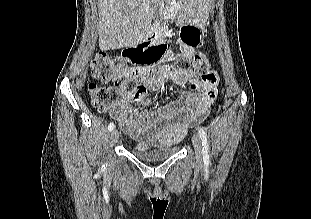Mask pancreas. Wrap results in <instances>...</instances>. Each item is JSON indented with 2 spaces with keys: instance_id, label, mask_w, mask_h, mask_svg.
<instances>
[{
  "instance_id": "pancreas-1",
  "label": "pancreas",
  "mask_w": 311,
  "mask_h": 219,
  "mask_svg": "<svg viewBox=\"0 0 311 219\" xmlns=\"http://www.w3.org/2000/svg\"><path fill=\"white\" fill-rule=\"evenodd\" d=\"M165 2V7L159 9V15L163 20H173L175 15L180 10V5L176 3V0H165ZM159 28L162 32H166L168 30V26H166L165 23H161Z\"/></svg>"
}]
</instances>
